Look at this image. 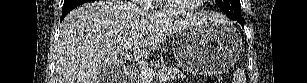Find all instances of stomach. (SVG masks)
I'll return each mask as SVG.
<instances>
[{"instance_id":"0dacf381","label":"stomach","mask_w":307,"mask_h":83,"mask_svg":"<svg viewBox=\"0 0 307 83\" xmlns=\"http://www.w3.org/2000/svg\"><path fill=\"white\" fill-rule=\"evenodd\" d=\"M243 50L240 33L229 23L208 22L178 31L173 53L185 70L201 76L217 75L233 66Z\"/></svg>"}]
</instances>
